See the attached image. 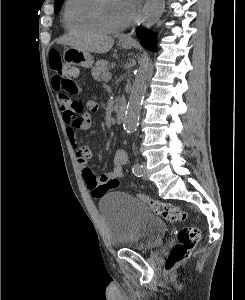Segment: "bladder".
Instances as JSON below:
<instances>
[{"mask_svg":"<svg viewBox=\"0 0 245 300\" xmlns=\"http://www.w3.org/2000/svg\"><path fill=\"white\" fill-rule=\"evenodd\" d=\"M114 249L149 252L158 247L167 225L141 201L122 192L110 193L98 205Z\"/></svg>","mask_w":245,"mask_h":300,"instance_id":"31cf9c89","label":"bladder"}]
</instances>
